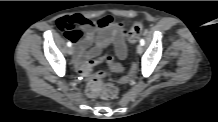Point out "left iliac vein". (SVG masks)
I'll use <instances>...</instances> for the list:
<instances>
[{
  "instance_id": "1",
  "label": "left iliac vein",
  "mask_w": 218,
  "mask_h": 122,
  "mask_svg": "<svg viewBox=\"0 0 218 122\" xmlns=\"http://www.w3.org/2000/svg\"><path fill=\"white\" fill-rule=\"evenodd\" d=\"M137 53L138 54H142L143 53V47H142L141 44H138V46H137Z\"/></svg>"
}]
</instances>
